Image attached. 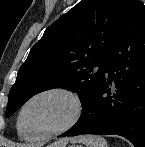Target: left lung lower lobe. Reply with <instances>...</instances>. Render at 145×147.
Here are the masks:
<instances>
[{
	"mask_svg": "<svg viewBox=\"0 0 145 147\" xmlns=\"http://www.w3.org/2000/svg\"><path fill=\"white\" fill-rule=\"evenodd\" d=\"M120 135L145 147V6L131 0L95 94L76 126L62 136Z\"/></svg>",
	"mask_w": 145,
	"mask_h": 147,
	"instance_id": "left-lung-lower-lobe-1",
	"label": "left lung lower lobe"
}]
</instances>
